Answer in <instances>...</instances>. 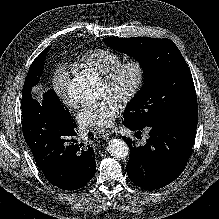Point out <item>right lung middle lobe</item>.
<instances>
[{"mask_svg": "<svg viewBox=\"0 0 219 219\" xmlns=\"http://www.w3.org/2000/svg\"><path fill=\"white\" fill-rule=\"evenodd\" d=\"M50 48L51 46L47 47L31 64L24 82L22 98L25 97L26 93L30 92L31 88L39 82L42 75V70L44 68V60ZM24 102L25 101L21 102L22 105ZM41 105L47 109L58 112L65 118H71L69 110L59 100L54 90H48L43 94V101Z\"/></svg>", "mask_w": 219, "mask_h": 219, "instance_id": "right-lung-middle-lobe-1", "label": "right lung middle lobe"}]
</instances>
